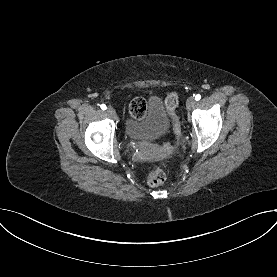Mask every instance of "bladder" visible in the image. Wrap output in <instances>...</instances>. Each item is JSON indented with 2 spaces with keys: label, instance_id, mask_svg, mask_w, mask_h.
Instances as JSON below:
<instances>
[{
  "label": "bladder",
  "instance_id": "bladder-1",
  "mask_svg": "<svg viewBox=\"0 0 277 277\" xmlns=\"http://www.w3.org/2000/svg\"><path fill=\"white\" fill-rule=\"evenodd\" d=\"M170 115L159 97H151L144 114L128 118L125 133L131 140L148 141L158 138L168 131Z\"/></svg>",
  "mask_w": 277,
  "mask_h": 277
}]
</instances>
